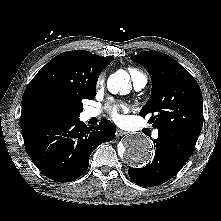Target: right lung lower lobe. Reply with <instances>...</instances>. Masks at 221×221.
I'll return each mask as SVG.
<instances>
[{"label":"right lung lower lobe","instance_id":"98d812e1","mask_svg":"<svg viewBox=\"0 0 221 221\" xmlns=\"http://www.w3.org/2000/svg\"><path fill=\"white\" fill-rule=\"evenodd\" d=\"M109 120L88 128L78 119L49 120L22 128L26 151L37 168L48 178L70 182L89 166L92 151L115 136Z\"/></svg>","mask_w":221,"mask_h":221}]
</instances>
